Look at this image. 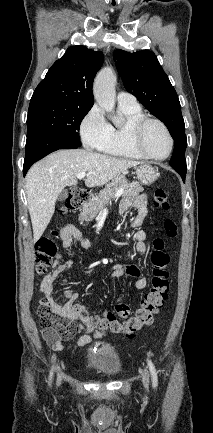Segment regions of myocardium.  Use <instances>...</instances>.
Listing matches in <instances>:
<instances>
[{"label":"myocardium","instance_id":"1","mask_svg":"<svg viewBox=\"0 0 213 433\" xmlns=\"http://www.w3.org/2000/svg\"><path fill=\"white\" fill-rule=\"evenodd\" d=\"M149 124H156V125L160 126L164 130V132L166 133V135L169 139L170 147H169L168 153L165 156H155V155L151 154L150 152H148V150L145 148L144 143H143V135H144V131H145L146 127ZM129 136H130L132 146L135 148V150L137 152H139L145 158L162 161V160L167 159L172 154L173 149H174L175 142H174V138H173L171 131L169 130V128L167 127V125L164 122H162L161 120L156 119V118L144 116V117L138 119L137 121H135L131 125L130 130H129Z\"/></svg>","mask_w":213,"mask_h":433}]
</instances>
